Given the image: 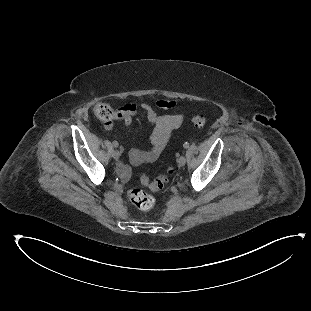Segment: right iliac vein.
<instances>
[{
    "label": "right iliac vein",
    "instance_id": "1",
    "mask_svg": "<svg viewBox=\"0 0 311 311\" xmlns=\"http://www.w3.org/2000/svg\"><path fill=\"white\" fill-rule=\"evenodd\" d=\"M112 156H113V158H114L115 160H118L119 157H120L119 151H118V150H115V151L113 152Z\"/></svg>",
    "mask_w": 311,
    "mask_h": 311
}]
</instances>
